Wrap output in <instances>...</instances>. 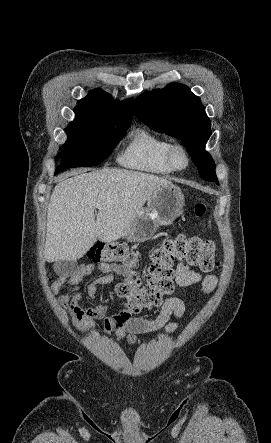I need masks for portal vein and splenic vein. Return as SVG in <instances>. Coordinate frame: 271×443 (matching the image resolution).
Instances as JSON below:
<instances>
[{
  "mask_svg": "<svg viewBox=\"0 0 271 443\" xmlns=\"http://www.w3.org/2000/svg\"><path fill=\"white\" fill-rule=\"evenodd\" d=\"M95 208H100V204H96Z\"/></svg>",
  "mask_w": 271,
  "mask_h": 443,
  "instance_id": "portal-vein-and-splenic-vein-1",
  "label": "portal vein and splenic vein"
}]
</instances>
